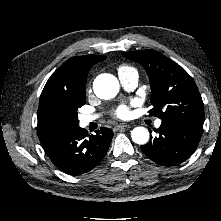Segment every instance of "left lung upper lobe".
I'll list each match as a JSON object with an SVG mask.
<instances>
[{
    "instance_id": "left-lung-upper-lobe-1",
    "label": "left lung upper lobe",
    "mask_w": 221,
    "mask_h": 221,
    "mask_svg": "<svg viewBox=\"0 0 221 221\" xmlns=\"http://www.w3.org/2000/svg\"><path fill=\"white\" fill-rule=\"evenodd\" d=\"M147 71L152 90L149 113L162 121L186 119L204 122V107L194 80L178 64L154 50L122 54Z\"/></svg>"
}]
</instances>
